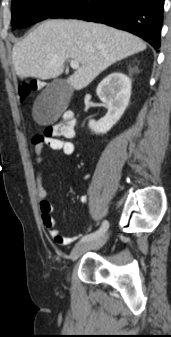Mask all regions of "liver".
I'll list each match as a JSON object with an SVG mask.
<instances>
[{
	"label": "liver",
	"instance_id": "liver-1",
	"mask_svg": "<svg viewBox=\"0 0 171 337\" xmlns=\"http://www.w3.org/2000/svg\"><path fill=\"white\" fill-rule=\"evenodd\" d=\"M145 49L139 37L125 31L92 22L52 19L14 45L12 60L20 79L42 80L58 77L67 59L76 60L81 66L66 82L81 90L112 64Z\"/></svg>",
	"mask_w": 171,
	"mask_h": 337
}]
</instances>
